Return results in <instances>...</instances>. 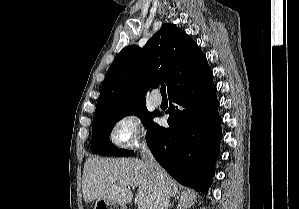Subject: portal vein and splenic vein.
Returning <instances> with one entry per match:
<instances>
[{"label": "portal vein and splenic vein", "mask_w": 299, "mask_h": 209, "mask_svg": "<svg viewBox=\"0 0 299 209\" xmlns=\"http://www.w3.org/2000/svg\"><path fill=\"white\" fill-rule=\"evenodd\" d=\"M120 184H122V185H126V183H125V182H120Z\"/></svg>", "instance_id": "1"}]
</instances>
